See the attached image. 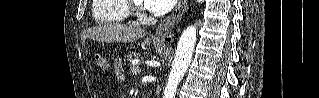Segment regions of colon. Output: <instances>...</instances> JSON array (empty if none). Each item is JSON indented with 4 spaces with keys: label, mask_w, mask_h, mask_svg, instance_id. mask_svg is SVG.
I'll return each mask as SVG.
<instances>
[{
    "label": "colon",
    "mask_w": 319,
    "mask_h": 98,
    "mask_svg": "<svg viewBox=\"0 0 319 98\" xmlns=\"http://www.w3.org/2000/svg\"><path fill=\"white\" fill-rule=\"evenodd\" d=\"M94 61L100 69H105L107 67L106 59L99 53L94 55Z\"/></svg>",
    "instance_id": "5ec220e1"
}]
</instances>
